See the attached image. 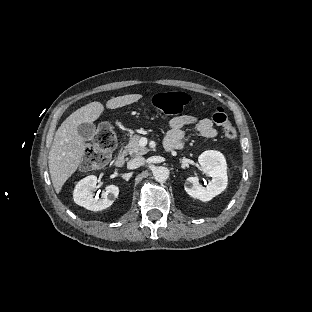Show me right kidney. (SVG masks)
Here are the masks:
<instances>
[{
	"label": "right kidney",
	"instance_id": "right-kidney-1",
	"mask_svg": "<svg viewBox=\"0 0 312 312\" xmlns=\"http://www.w3.org/2000/svg\"><path fill=\"white\" fill-rule=\"evenodd\" d=\"M97 184L96 176H88L82 179L74 189V202L91 211H100L110 207L115 199L118 198L120 189L117 185L110 184L101 194V198L91 194L90 190L94 189Z\"/></svg>",
	"mask_w": 312,
	"mask_h": 312
}]
</instances>
